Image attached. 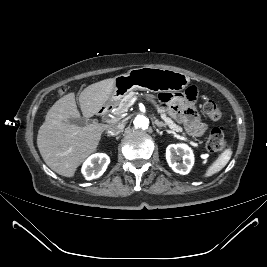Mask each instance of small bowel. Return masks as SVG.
<instances>
[{"instance_id": "small-bowel-1", "label": "small bowel", "mask_w": 267, "mask_h": 267, "mask_svg": "<svg viewBox=\"0 0 267 267\" xmlns=\"http://www.w3.org/2000/svg\"><path fill=\"white\" fill-rule=\"evenodd\" d=\"M196 95V88L190 87L185 93H162L159 99L166 111L184 124L189 134L202 136L207 131V125L201 122L197 115L194 106Z\"/></svg>"}]
</instances>
